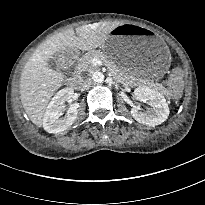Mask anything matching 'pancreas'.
<instances>
[{
  "mask_svg": "<svg viewBox=\"0 0 205 205\" xmlns=\"http://www.w3.org/2000/svg\"><path fill=\"white\" fill-rule=\"evenodd\" d=\"M94 58L100 59L104 62V64L107 66V68L109 69L110 73L116 81L129 86H136L137 83L140 85L144 84L136 82L132 76L121 71L111 60H109L104 54H102L99 51L94 50L88 52L80 61L82 68L90 72H94L95 70H97L98 66L92 63V60ZM152 87L159 89L158 85H152Z\"/></svg>",
  "mask_w": 205,
  "mask_h": 205,
  "instance_id": "pancreas-1",
  "label": "pancreas"
}]
</instances>
